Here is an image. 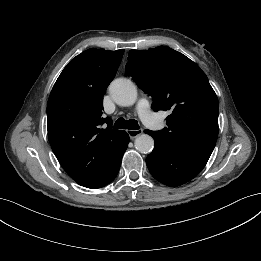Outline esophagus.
<instances>
[{
	"instance_id": "esophagus-1",
	"label": "esophagus",
	"mask_w": 261,
	"mask_h": 261,
	"mask_svg": "<svg viewBox=\"0 0 261 261\" xmlns=\"http://www.w3.org/2000/svg\"><path fill=\"white\" fill-rule=\"evenodd\" d=\"M127 133L129 135V137L131 139H134L138 136H140L142 133H143V130L142 129H137V130H127Z\"/></svg>"
}]
</instances>
